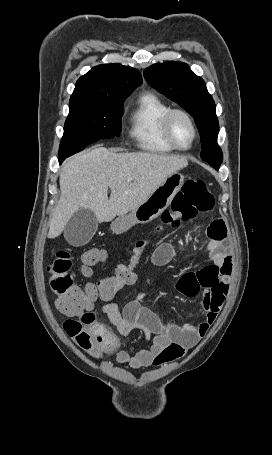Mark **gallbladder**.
<instances>
[{"label": "gallbladder", "mask_w": 272, "mask_h": 455, "mask_svg": "<svg viewBox=\"0 0 272 455\" xmlns=\"http://www.w3.org/2000/svg\"><path fill=\"white\" fill-rule=\"evenodd\" d=\"M98 220L95 214L85 208L79 209L70 218L64 229V237L70 245L82 246L96 233Z\"/></svg>", "instance_id": "obj_1"}]
</instances>
